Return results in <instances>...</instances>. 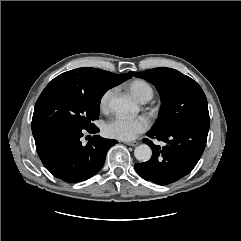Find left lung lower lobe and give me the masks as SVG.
Segmentation results:
<instances>
[{
  "label": "left lung lower lobe",
  "instance_id": "1",
  "mask_svg": "<svg viewBox=\"0 0 241 241\" xmlns=\"http://www.w3.org/2000/svg\"><path fill=\"white\" fill-rule=\"evenodd\" d=\"M209 121L194 122L166 133L149 131L147 136L166 143L164 147L144 139L152 149L148 162L136 163V172L146 181L159 185L174 183L196 166L207 141Z\"/></svg>",
  "mask_w": 241,
  "mask_h": 241
}]
</instances>
